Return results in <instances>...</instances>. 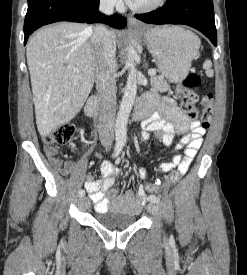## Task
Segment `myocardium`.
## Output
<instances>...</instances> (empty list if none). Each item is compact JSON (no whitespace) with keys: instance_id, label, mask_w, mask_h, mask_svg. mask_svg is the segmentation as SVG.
<instances>
[{"instance_id":"1","label":"myocardium","mask_w":247,"mask_h":275,"mask_svg":"<svg viewBox=\"0 0 247 275\" xmlns=\"http://www.w3.org/2000/svg\"><path fill=\"white\" fill-rule=\"evenodd\" d=\"M166 2V0H154L153 2L145 5V6H134L129 4L130 8L136 12H142V13H146V12H151L154 10L159 9L160 7H162L164 5V3Z\"/></svg>"}]
</instances>
